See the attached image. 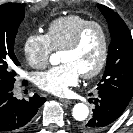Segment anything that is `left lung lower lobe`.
Segmentation results:
<instances>
[{"instance_id": "obj_1", "label": "left lung lower lobe", "mask_w": 133, "mask_h": 133, "mask_svg": "<svg viewBox=\"0 0 133 133\" xmlns=\"http://www.w3.org/2000/svg\"><path fill=\"white\" fill-rule=\"evenodd\" d=\"M93 117L82 125L84 133H100L126 109L129 100L107 91H98Z\"/></svg>"}]
</instances>
